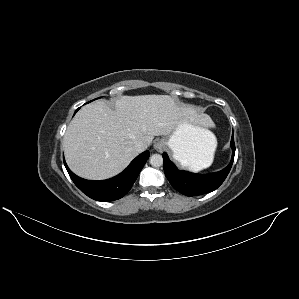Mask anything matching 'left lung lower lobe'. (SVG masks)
I'll list each match as a JSON object with an SVG mask.
<instances>
[{
  "label": "left lung lower lobe",
  "instance_id": "1",
  "mask_svg": "<svg viewBox=\"0 0 299 299\" xmlns=\"http://www.w3.org/2000/svg\"><path fill=\"white\" fill-rule=\"evenodd\" d=\"M232 159L229 165L223 170L212 174H195L187 171H180L169 160L166 153L162 154L164 159V172L174 189L186 196H196L209 193L217 189L227 177L234 160L235 144L234 136L231 138Z\"/></svg>",
  "mask_w": 299,
  "mask_h": 299
}]
</instances>
